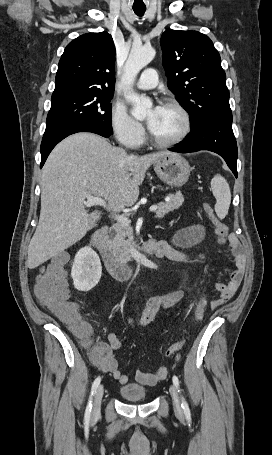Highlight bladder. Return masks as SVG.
<instances>
[{
	"instance_id": "bladder-1",
	"label": "bladder",
	"mask_w": 272,
	"mask_h": 455,
	"mask_svg": "<svg viewBox=\"0 0 272 455\" xmlns=\"http://www.w3.org/2000/svg\"><path fill=\"white\" fill-rule=\"evenodd\" d=\"M120 396L130 402H141L147 397L146 389L138 384H126L119 389Z\"/></svg>"
}]
</instances>
